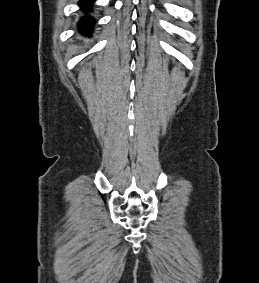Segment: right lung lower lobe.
<instances>
[{
    "instance_id": "obj_1",
    "label": "right lung lower lobe",
    "mask_w": 259,
    "mask_h": 283,
    "mask_svg": "<svg viewBox=\"0 0 259 283\" xmlns=\"http://www.w3.org/2000/svg\"><path fill=\"white\" fill-rule=\"evenodd\" d=\"M91 3L92 0H81L79 5L83 8V9H88L91 7ZM93 26V22L90 20H86V19H81L80 23H79V29L80 32L82 34H89L90 29Z\"/></svg>"
}]
</instances>
